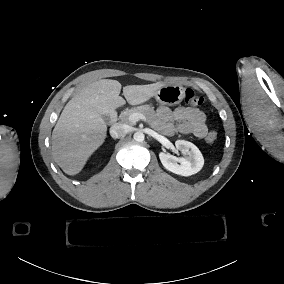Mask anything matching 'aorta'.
I'll return each mask as SVG.
<instances>
[{
  "label": "aorta",
  "instance_id": "762f6f07",
  "mask_svg": "<svg viewBox=\"0 0 284 284\" xmlns=\"http://www.w3.org/2000/svg\"><path fill=\"white\" fill-rule=\"evenodd\" d=\"M133 138L137 142H142L144 140L145 136L142 132H136V133H134Z\"/></svg>",
  "mask_w": 284,
  "mask_h": 284
}]
</instances>
